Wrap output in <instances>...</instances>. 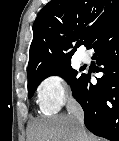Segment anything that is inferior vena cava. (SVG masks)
<instances>
[{"label": "inferior vena cava", "instance_id": "obj_1", "mask_svg": "<svg viewBox=\"0 0 119 141\" xmlns=\"http://www.w3.org/2000/svg\"><path fill=\"white\" fill-rule=\"evenodd\" d=\"M67 111L69 115L74 117L77 126L83 131L84 130V112L80 104L73 97H70L68 99ZM83 141H86L85 134H84Z\"/></svg>", "mask_w": 119, "mask_h": 141}]
</instances>
